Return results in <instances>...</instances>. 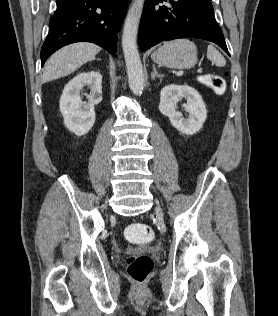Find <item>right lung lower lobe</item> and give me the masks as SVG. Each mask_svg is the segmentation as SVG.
Instances as JSON below:
<instances>
[{
	"instance_id": "98d812e1",
	"label": "right lung lower lobe",
	"mask_w": 278,
	"mask_h": 316,
	"mask_svg": "<svg viewBox=\"0 0 278 316\" xmlns=\"http://www.w3.org/2000/svg\"><path fill=\"white\" fill-rule=\"evenodd\" d=\"M128 0H57L50 31L41 49V62L61 47L93 42L116 56V39Z\"/></svg>"
}]
</instances>
